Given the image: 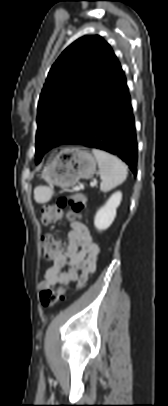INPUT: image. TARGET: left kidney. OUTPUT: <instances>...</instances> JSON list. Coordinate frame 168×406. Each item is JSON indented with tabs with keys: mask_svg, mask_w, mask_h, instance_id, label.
<instances>
[{
	"mask_svg": "<svg viewBox=\"0 0 168 406\" xmlns=\"http://www.w3.org/2000/svg\"><path fill=\"white\" fill-rule=\"evenodd\" d=\"M122 193L115 192L110 196L104 206H102L96 213L94 218L95 227L102 231L110 227L116 217V209L120 205Z\"/></svg>",
	"mask_w": 168,
	"mask_h": 406,
	"instance_id": "1",
	"label": "left kidney"
}]
</instances>
